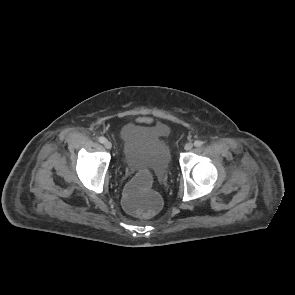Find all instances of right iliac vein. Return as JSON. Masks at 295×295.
<instances>
[{"label":"right iliac vein","mask_w":295,"mask_h":295,"mask_svg":"<svg viewBox=\"0 0 295 295\" xmlns=\"http://www.w3.org/2000/svg\"><path fill=\"white\" fill-rule=\"evenodd\" d=\"M104 146H105L106 149H111L112 148V143L110 141L106 140L104 142Z\"/></svg>","instance_id":"63e3f726"}]
</instances>
